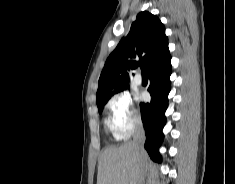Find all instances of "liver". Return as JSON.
Returning <instances> with one entry per match:
<instances>
[{"label":"liver","mask_w":235,"mask_h":184,"mask_svg":"<svg viewBox=\"0 0 235 184\" xmlns=\"http://www.w3.org/2000/svg\"><path fill=\"white\" fill-rule=\"evenodd\" d=\"M147 160L146 152L142 150L137 154L131 142L119 148H108L100 158L97 184H135L140 166Z\"/></svg>","instance_id":"6515ba94"}]
</instances>
